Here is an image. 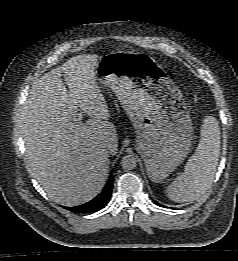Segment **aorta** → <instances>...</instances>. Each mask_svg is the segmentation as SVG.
Returning <instances> with one entry per match:
<instances>
[{
	"label": "aorta",
	"instance_id": "762f6f07",
	"mask_svg": "<svg viewBox=\"0 0 238 261\" xmlns=\"http://www.w3.org/2000/svg\"><path fill=\"white\" fill-rule=\"evenodd\" d=\"M136 165L137 159L133 155H125L121 160V166L124 170H133Z\"/></svg>",
	"mask_w": 238,
	"mask_h": 261
}]
</instances>
